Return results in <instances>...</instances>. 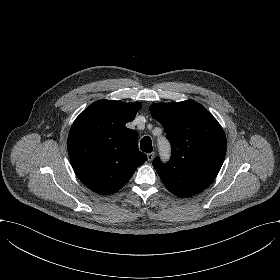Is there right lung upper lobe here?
I'll return each mask as SVG.
<instances>
[{
  "label": "right lung upper lobe",
  "instance_id": "right-lung-upper-lobe-1",
  "mask_svg": "<svg viewBox=\"0 0 280 280\" xmlns=\"http://www.w3.org/2000/svg\"><path fill=\"white\" fill-rule=\"evenodd\" d=\"M140 108L137 102L100 100L74 121L68 154L78 178L94 192H117L147 160L138 150L137 132L125 126Z\"/></svg>",
  "mask_w": 280,
  "mask_h": 280
}]
</instances>
